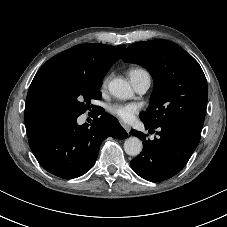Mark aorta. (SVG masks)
I'll return each mask as SVG.
<instances>
[{
  "mask_svg": "<svg viewBox=\"0 0 227 227\" xmlns=\"http://www.w3.org/2000/svg\"><path fill=\"white\" fill-rule=\"evenodd\" d=\"M110 93L119 99H128L133 95L129 83L121 78H115L109 83ZM142 142L137 137H129L124 142V150L130 156H138L142 151Z\"/></svg>",
  "mask_w": 227,
  "mask_h": 227,
  "instance_id": "762f6f07",
  "label": "aorta"
}]
</instances>
